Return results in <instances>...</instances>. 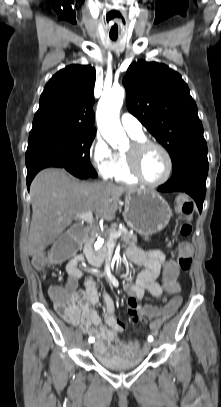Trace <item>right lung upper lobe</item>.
Masks as SVG:
<instances>
[{
	"label": "right lung upper lobe",
	"instance_id": "obj_1",
	"mask_svg": "<svg viewBox=\"0 0 221 407\" xmlns=\"http://www.w3.org/2000/svg\"><path fill=\"white\" fill-rule=\"evenodd\" d=\"M95 69L70 65L46 84L32 130L59 127L96 132L94 127Z\"/></svg>",
	"mask_w": 221,
	"mask_h": 407
}]
</instances>
